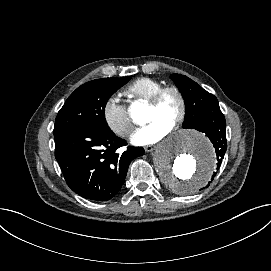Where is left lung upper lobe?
Listing matches in <instances>:
<instances>
[{
	"instance_id": "left-lung-upper-lobe-1",
	"label": "left lung upper lobe",
	"mask_w": 271,
	"mask_h": 271,
	"mask_svg": "<svg viewBox=\"0 0 271 271\" xmlns=\"http://www.w3.org/2000/svg\"><path fill=\"white\" fill-rule=\"evenodd\" d=\"M170 78L176 83L186 103L183 128L196 129L209 113L220 109L217 98L187 76L172 74Z\"/></svg>"
}]
</instances>
